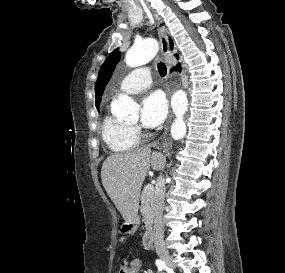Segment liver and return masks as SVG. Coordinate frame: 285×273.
<instances>
[{
    "label": "liver",
    "instance_id": "liver-1",
    "mask_svg": "<svg viewBox=\"0 0 285 273\" xmlns=\"http://www.w3.org/2000/svg\"><path fill=\"white\" fill-rule=\"evenodd\" d=\"M166 164L165 156L151 151L150 146L110 155L101 169L102 184L125 222L138 218L139 197L147 172L159 171Z\"/></svg>",
    "mask_w": 285,
    "mask_h": 273
}]
</instances>
